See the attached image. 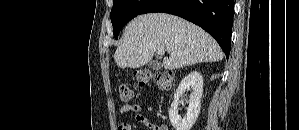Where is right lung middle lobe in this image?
Returning a JSON list of instances; mask_svg holds the SVG:
<instances>
[{
    "label": "right lung middle lobe",
    "mask_w": 299,
    "mask_h": 130,
    "mask_svg": "<svg viewBox=\"0 0 299 130\" xmlns=\"http://www.w3.org/2000/svg\"><path fill=\"white\" fill-rule=\"evenodd\" d=\"M148 2L150 0H113L110 17L116 39L122 27L135 16L139 15Z\"/></svg>",
    "instance_id": "right-lung-middle-lobe-1"
}]
</instances>
